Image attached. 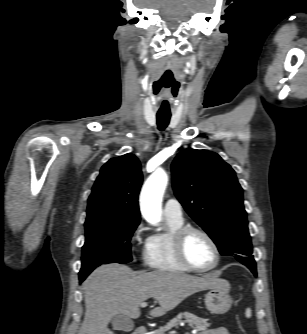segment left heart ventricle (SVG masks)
<instances>
[{
    "label": "left heart ventricle",
    "mask_w": 307,
    "mask_h": 334,
    "mask_svg": "<svg viewBox=\"0 0 307 334\" xmlns=\"http://www.w3.org/2000/svg\"><path fill=\"white\" fill-rule=\"evenodd\" d=\"M189 260L197 267L205 268L214 263L215 252L208 240L200 234L190 235L186 243Z\"/></svg>",
    "instance_id": "left-heart-ventricle-1"
}]
</instances>
